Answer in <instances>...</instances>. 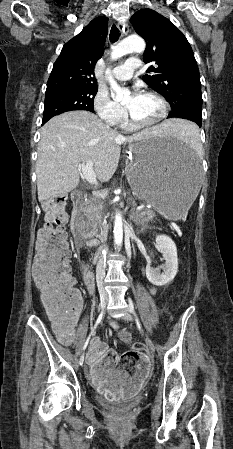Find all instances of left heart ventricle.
<instances>
[{
  "instance_id": "left-heart-ventricle-1",
  "label": "left heart ventricle",
  "mask_w": 233,
  "mask_h": 449,
  "mask_svg": "<svg viewBox=\"0 0 233 449\" xmlns=\"http://www.w3.org/2000/svg\"><path fill=\"white\" fill-rule=\"evenodd\" d=\"M126 107L132 115L140 122H148L156 119L161 113L159 102L148 95L142 94L135 102L129 96L125 100Z\"/></svg>"
}]
</instances>
